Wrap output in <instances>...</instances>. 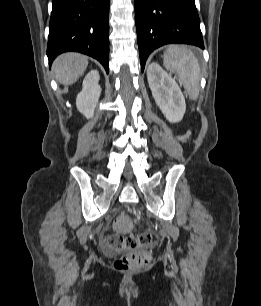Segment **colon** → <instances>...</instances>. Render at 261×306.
<instances>
[{"label": "colon", "instance_id": "obj_1", "mask_svg": "<svg viewBox=\"0 0 261 306\" xmlns=\"http://www.w3.org/2000/svg\"><path fill=\"white\" fill-rule=\"evenodd\" d=\"M116 234L106 239L107 246L112 250L128 251L114 262V268L119 271H133L145 268L150 261V254L143 248L154 242L151 232L137 235L131 234L133 221L127 214H120L114 221Z\"/></svg>", "mask_w": 261, "mask_h": 306}]
</instances>
